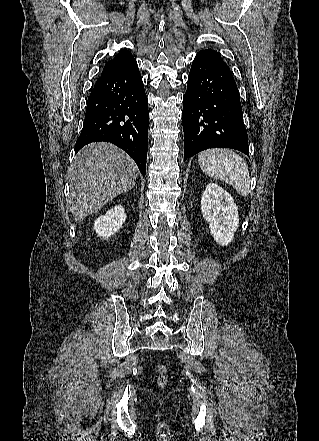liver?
<instances>
[{
    "label": "liver",
    "mask_w": 319,
    "mask_h": 441,
    "mask_svg": "<svg viewBox=\"0 0 319 441\" xmlns=\"http://www.w3.org/2000/svg\"><path fill=\"white\" fill-rule=\"evenodd\" d=\"M69 204L76 222L96 213L123 192L131 190L138 176L135 162L110 143L82 148L69 168Z\"/></svg>",
    "instance_id": "liver-1"
}]
</instances>
